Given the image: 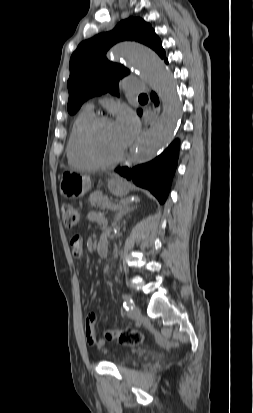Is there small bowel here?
<instances>
[{
	"mask_svg": "<svg viewBox=\"0 0 253 413\" xmlns=\"http://www.w3.org/2000/svg\"><path fill=\"white\" fill-rule=\"evenodd\" d=\"M89 218L92 220H97L101 223H104V220L96 214H90ZM71 246H72L73 255L75 257H79L82 251L81 237L78 235L73 236L71 239ZM96 322H97L96 314L91 313L87 316L86 324H85V334H86V339L89 345L100 348L104 346V341L97 338L96 336V331H95Z\"/></svg>",
	"mask_w": 253,
	"mask_h": 413,
	"instance_id": "small-bowel-1",
	"label": "small bowel"
}]
</instances>
